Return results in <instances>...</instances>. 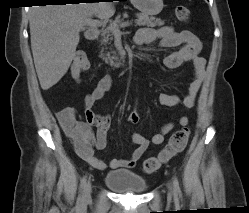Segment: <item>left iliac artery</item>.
Listing matches in <instances>:
<instances>
[{
	"label": "left iliac artery",
	"instance_id": "obj_1",
	"mask_svg": "<svg viewBox=\"0 0 249 213\" xmlns=\"http://www.w3.org/2000/svg\"><path fill=\"white\" fill-rule=\"evenodd\" d=\"M173 186H174V190L177 193H181L180 187H179V181L176 177H173Z\"/></svg>",
	"mask_w": 249,
	"mask_h": 213
}]
</instances>
